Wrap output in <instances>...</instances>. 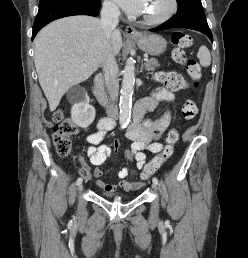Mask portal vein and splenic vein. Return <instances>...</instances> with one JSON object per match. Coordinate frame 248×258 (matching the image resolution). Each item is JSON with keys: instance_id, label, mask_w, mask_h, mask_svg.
I'll return each instance as SVG.
<instances>
[{"instance_id": "portal-vein-and-splenic-vein-1", "label": "portal vein and splenic vein", "mask_w": 248, "mask_h": 258, "mask_svg": "<svg viewBox=\"0 0 248 258\" xmlns=\"http://www.w3.org/2000/svg\"><path fill=\"white\" fill-rule=\"evenodd\" d=\"M144 61H145V62L149 61L148 57H145V58H144Z\"/></svg>"}]
</instances>
